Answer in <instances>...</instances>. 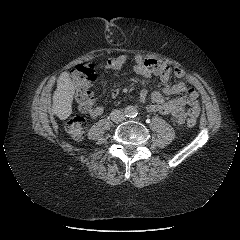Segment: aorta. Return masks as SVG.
<instances>
[{
  "mask_svg": "<svg viewBox=\"0 0 240 240\" xmlns=\"http://www.w3.org/2000/svg\"><path fill=\"white\" fill-rule=\"evenodd\" d=\"M124 114L129 118H134L138 114V110L135 106H127L124 110Z\"/></svg>",
  "mask_w": 240,
  "mask_h": 240,
  "instance_id": "762f6f07",
  "label": "aorta"
}]
</instances>
